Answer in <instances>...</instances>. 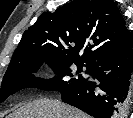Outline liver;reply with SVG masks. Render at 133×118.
Here are the masks:
<instances>
[{
    "label": "liver",
    "mask_w": 133,
    "mask_h": 118,
    "mask_svg": "<svg viewBox=\"0 0 133 118\" xmlns=\"http://www.w3.org/2000/svg\"><path fill=\"white\" fill-rule=\"evenodd\" d=\"M8 118H89V116L59 100L42 98L20 106Z\"/></svg>",
    "instance_id": "1"
}]
</instances>
